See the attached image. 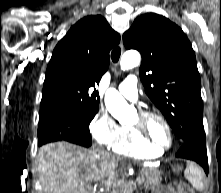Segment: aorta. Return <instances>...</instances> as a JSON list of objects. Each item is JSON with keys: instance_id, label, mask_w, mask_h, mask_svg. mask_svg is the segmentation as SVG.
Returning <instances> with one entry per match:
<instances>
[{"instance_id": "obj_1", "label": "aorta", "mask_w": 221, "mask_h": 193, "mask_svg": "<svg viewBox=\"0 0 221 193\" xmlns=\"http://www.w3.org/2000/svg\"><path fill=\"white\" fill-rule=\"evenodd\" d=\"M140 54L137 51H128L123 54L120 67L122 70H129L140 64ZM105 105L110 114L118 121L122 122L134 114L131 107L123 96L115 89L110 88L105 94Z\"/></svg>"}]
</instances>
